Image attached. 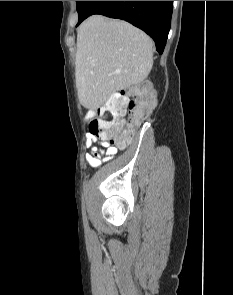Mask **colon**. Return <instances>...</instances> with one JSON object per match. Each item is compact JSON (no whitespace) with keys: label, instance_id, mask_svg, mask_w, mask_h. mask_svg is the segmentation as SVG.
I'll use <instances>...</instances> for the list:
<instances>
[{"label":"colon","instance_id":"colon-1","mask_svg":"<svg viewBox=\"0 0 233 295\" xmlns=\"http://www.w3.org/2000/svg\"><path fill=\"white\" fill-rule=\"evenodd\" d=\"M154 100L147 83L133 86L112 95L98 117L92 113L89 131L112 147H124L134 138L137 127L151 113Z\"/></svg>","mask_w":233,"mask_h":295}]
</instances>
